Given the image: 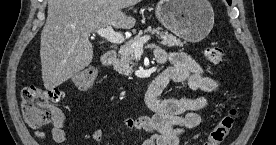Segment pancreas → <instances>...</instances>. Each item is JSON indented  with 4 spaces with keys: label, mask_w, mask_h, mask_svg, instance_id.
Masks as SVG:
<instances>
[{
    "label": "pancreas",
    "mask_w": 276,
    "mask_h": 145,
    "mask_svg": "<svg viewBox=\"0 0 276 145\" xmlns=\"http://www.w3.org/2000/svg\"><path fill=\"white\" fill-rule=\"evenodd\" d=\"M161 27L157 28H151L148 27L144 30V33H151V34H157L160 36L161 44L167 47H174V46H183V43L174 37L172 34H169L167 31H161ZM143 31H139V33L136 35V37L127 43L126 45L122 46L119 50V59L114 63V69L125 76H130L133 73V60H134V50L131 47V44L134 41L139 40L142 37Z\"/></svg>",
    "instance_id": "obj_1"
}]
</instances>
